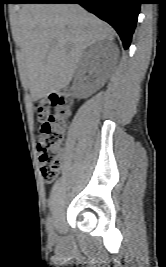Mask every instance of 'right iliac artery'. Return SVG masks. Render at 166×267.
<instances>
[{"instance_id": "1", "label": "right iliac artery", "mask_w": 166, "mask_h": 267, "mask_svg": "<svg viewBox=\"0 0 166 267\" xmlns=\"http://www.w3.org/2000/svg\"><path fill=\"white\" fill-rule=\"evenodd\" d=\"M46 227H47L48 232H51L52 231V228H53V220H52L51 217H49L47 219Z\"/></svg>"}]
</instances>
